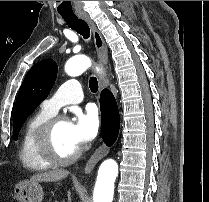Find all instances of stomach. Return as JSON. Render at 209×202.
I'll list each match as a JSON object with an SVG mask.
<instances>
[{
  "mask_svg": "<svg viewBox=\"0 0 209 202\" xmlns=\"http://www.w3.org/2000/svg\"><path fill=\"white\" fill-rule=\"evenodd\" d=\"M13 192L18 202H42L44 196L42 186L32 181L18 182Z\"/></svg>",
  "mask_w": 209,
  "mask_h": 202,
  "instance_id": "stomach-1",
  "label": "stomach"
}]
</instances>
